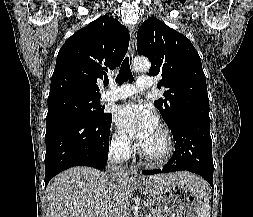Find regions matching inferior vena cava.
<instances>
[{"mask_svg":"<svg viewBox=\"0 0 253 217\" xmlns=\"http://www.w3.org/2000/svg\"><path fill=\"white\" fill-rule=\"evenodd\" d=\"M127 147V140H122L112 146L109 150L106 174L109 176L110 183L113 187L110 190L113 196L121 195L120 187L123 184V180L128 177L127 166L123 165L127 153Z\"/></svg>","mask_w":253,"mask_h":217,"instance_id":"602c4592","label":"inferior vena cava"}]
</instances>
